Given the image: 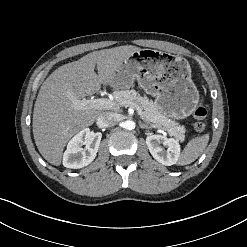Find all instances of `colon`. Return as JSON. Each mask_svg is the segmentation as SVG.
Wrapping results in <instances>:
<instances>
[{
    "label": "colon",
    "mask_w": 247,
    "mask_h": 247,
    "mask_svg": "<svg viewBox=\"0 0 247 247\" xmlns=\"http://www.w3.org/2000/svg\"><path fill=\"white\" fill-rule=\"evenodd\" d=\"M193 115H194V119H195V123H194L195 130L198 132L203 131L204 127H205L204 119L207 115L206 108L202 104H199L195 108Z\"/></svg>",
    "instance_id": "obj_1"
}]
</instances>
